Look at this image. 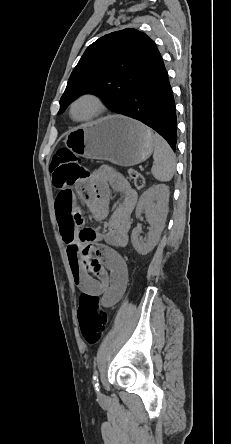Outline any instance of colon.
Masks as SVG:
<instances>
[{
	"instance_id": "1",
	"label": "colon",
	"mask_w": 231,
	"mask_h": 444,
	"mask_svg": "<svg viewBox=\"0 0 231 444\" xmlns=\"http://www.w3.org/2000/svg\"><path fill=\"white\" fill-rule=\"evenodd\" d=\"M49 168L56 186H71L88 176L79 159L66 148L56 151ZM129 175L137 188L144 187L145 180L140 173L130 170ZM79 225L85 235L95 234L92 229L84 227L82 222ZM78 317L85 341L90 345L97 343L104 335L108 323V313L99 307L98 297L83 292L79 298Z\"/></svg>"
}]
</instances>
